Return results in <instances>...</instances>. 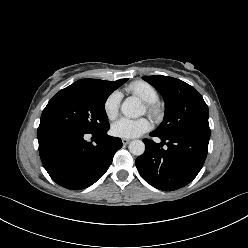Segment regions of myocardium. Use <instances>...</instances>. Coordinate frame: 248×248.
Returning <instances> with one entry per match:
<instances>
[{
  "label": "myocardium",
  "instance_id": "1",
  "mask_svg": "<svg viewBox=\"0 0 248 248\" xmlns=\"http://www.w3.org/2000/svg\"><path fill=\"white\" fill-rule=\"evenodd\" d=\"M146 109H147L148 113H150L153 116H158L161 112L160 107L157 103L146 104Z\"/></svg>",
  "mask_w": 248,
  "mask_h": 248
}]
</instances>
